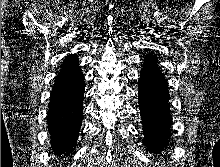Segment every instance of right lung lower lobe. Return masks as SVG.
Returning a JSON list of instances; mask_svg holds the SVG:
<instances>
[{"label": "right lung lower lobe", "mask_w": 220, "mask_h": 167, "mask_svg": "<svg viewBox=\"0 0 220 167\" xmlns=\"http://www.w3.org/2000/svg\"><path fill=\"white\" fill-rule=\"evenodd\" d=\"M84 76L76 64L62 67L51 92L47 116L54 154L69 153L82 123Z\"/></svg>", "instance_id": "right-lung-lower-lobe-1"}]
</instances>
